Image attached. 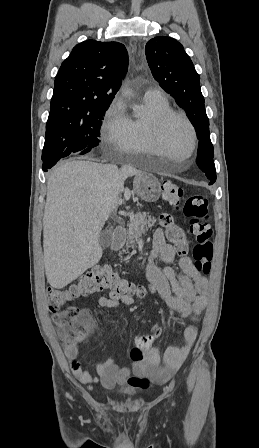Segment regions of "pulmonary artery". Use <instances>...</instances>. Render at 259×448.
Here are the masks:
<instances>
[{
    "label": "pulmonary artery",
    "instance_id": "pulmonary-artery-1",
    "mask_svg": "<svg viewBox=\"0 0 259 448\" xmlns=\"http://www.w3.org/2000/svg\"><path fill=\"white\" fill-rule=\"evenodd\" d=\"M150 93H152V94H159V95L164 94L163 90L161 88H159V87L151 89Z\"/></svg>",
    "mask_w": 259,
    "mask_h": 448
}]
</instances>
